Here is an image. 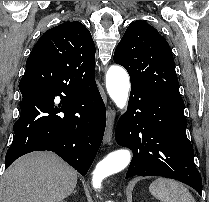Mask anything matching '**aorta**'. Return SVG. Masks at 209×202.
<instances>
[{"mask_svg":"<svg viewBox=\"0 0 209 202\" xmlns=\"http://www.w3.org/2000/svg\"><path fill=\"white\" fill-rule=\"evenodd\" d=\"M106 88L116 106L125 110L130 89L129 76L120 66H111L106 73ZM131 160V152L127 149H118L109 153L95 167L92 176V185L95 189L101 188L106 177L123 170Z\"/></svg>","mask_w":209,"mask_h":202,"instance_id":"1","label":"aorta"}]
</instances>
